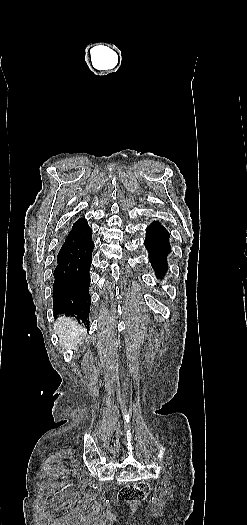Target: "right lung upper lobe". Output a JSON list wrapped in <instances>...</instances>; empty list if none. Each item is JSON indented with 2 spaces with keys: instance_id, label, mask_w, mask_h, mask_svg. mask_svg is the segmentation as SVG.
<instances>
[{
  "instance_id": "cb5924a9",
  "label": "right lung upper lobe",
  "mask_w": 247,
  "mask_h": 525,
  "mask_svg": "<svg viewBox=\"0 0 247 525\" xmlns=\"http://www.w3.org/2000/svg\"><path fill=\"white\" fill-rule=\"evenodd\" d=\"M87 225V220L85 218H79L72 226L71 231L73 232L75 230L81 229Z\"/></svg>"
}]
</instances>
